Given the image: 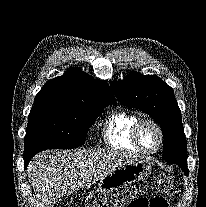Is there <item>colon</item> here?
<instances>
[{
    "label": "colon",
    "instance_id": "colon-1",
    "mask_svg": "<svg viewBox=\"0 0 206 207\" xmlns=\"http://www.w3.org/2000/svg\"><path fill=\"white\" fill-rule=\"evenodd\" d=\"M155 191L151 198H131L128 193H117L91 207H169L168 199L175 193L173 176L160 173L155 180Z\"/></svg>",
    "mask_w": 206,
    "mask_h": 207
}]
</instances>
